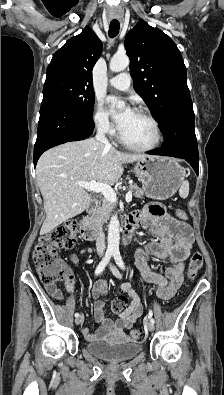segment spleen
<instances>
[{
    "label": "spleen",
    "mask_w": 224,
    "mask_h": 395,
    "mask_svg": "<svg viewBox=\"0 0 224 395\" xmlns=\"http://www.w3.org/2000/svg\"><path fill=\"white\" fill-rule=\"evenodd\" d=\"M188 194H189V182L183 181L179 189V195L182 198H186Z\"/></svg>",
    "instance_id": "spleen-1"
}]
</instances>
